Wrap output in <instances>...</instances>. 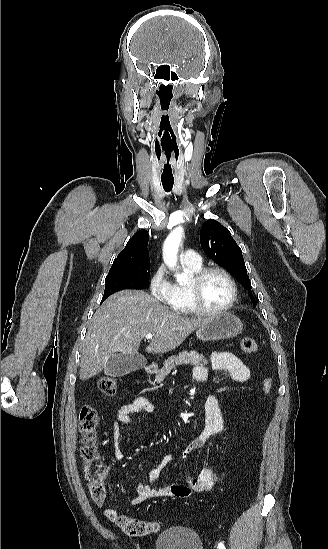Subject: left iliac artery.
Segmentation results:
<instances>
[{
    "label": "left iliac artery",
    "mask_w": 328,
    "mask_h": 549,
    "mask_svg": "<svg viewBox=\"0 0 328 549\" xmlns=\"http://www.w3.org/2000/svg\"><path fill=\"white\" fill-rule=\"evenodd\" d=\"M218 547H219V549H226L225 546H224V544L221 543V542L218 544Z\"/></svg>",
    "instance_id": "44dca946"
}]
</instances>
